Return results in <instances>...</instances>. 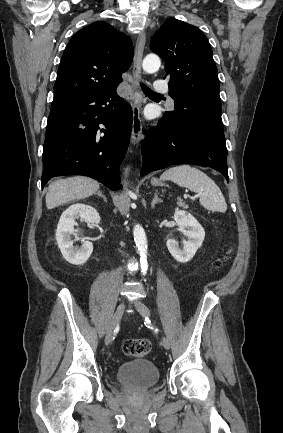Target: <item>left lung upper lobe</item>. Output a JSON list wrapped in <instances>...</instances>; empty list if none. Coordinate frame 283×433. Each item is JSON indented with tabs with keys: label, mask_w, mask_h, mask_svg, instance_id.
I'll return each instance as SVG.
<instances>
[{
	"label": "left lung upper lobe",
	"mask_w": 283,
	"mask_h": 433,
	"mask_svg": "<svg viewBox=\"0 0 283 433\" xmlns=\"http://www.w3.org/2000/svg\"><path fill=\"white\" fill-rule=\"evenodd\" d=\"M151 50L165 60L173 119H200L224 131L217 67L211 46L197 27L177 19L167 20L153 35Z\"/></svg>",
	"instance_id": "5c2ea615"
}]
</instances>
